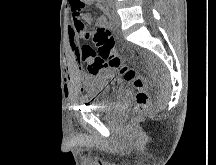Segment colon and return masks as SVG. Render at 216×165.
I'll return each instance as SVG.
<instances>
[{
  "instance_id": "obj_1",
  "label": "colon",
  "mask_w": 216,
  "mask_h": 165,
  "mask_svg": "<svg viewBox=\"0 0 216 165\" xmlns=\"http://www.w3.org/2000/svg\"><path fill=\"white\" fill-rule=\"evenodd\" d=\"M73 8L78 5L85 7V0H70ZM93 42L96 50L89 45H83L80 54L87 62V70L96 74L105 68L115 69L121 77L135 89V113L142 114L149 103V85L147 80L135 69L126 65L122 57L116 52L115 39L111 31L104 26H97L93 33Z\"/></svg>"
}]
</instances>
